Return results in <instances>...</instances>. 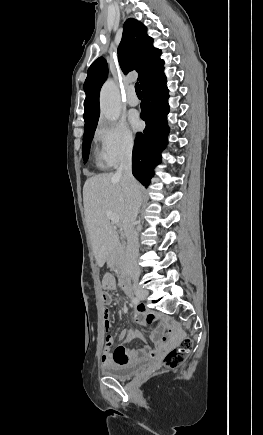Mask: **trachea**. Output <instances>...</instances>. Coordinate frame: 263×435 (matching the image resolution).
<instances>
[{
	"mask_svg": "<svg viewBox=\"0 0 263 435\" xmlns=\"http://www.w3.org/2000/svg\"><path fill=\"white\" fill-rule=\"evenodd\" d=\"M135 91L137 94H142L141 88L138 82L135 83Z\"/></svg>",
	"mask_w": 263,
	"mask_h": 435,
	"instance_id": "3493384b",
	"label": "trachea"
}]
</instances>
